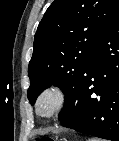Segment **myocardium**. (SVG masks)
<instances>
[{
    "instance_id": "obj_1",
    "label": "myocardium",
    "mask_w": 119,
    "mask_h": 141,
    "mask_svg": "<svg viewBox=\"0 0 119 141\" xmlns=\"http://www.w3.org/2000/svg\"><path fill=\"white\" fill-rule=\"evenodd\" d=\"M46 100L50 101L51 107L49 111L43 113L41 105ZM66 101L67 96L64 89L58 85H50L44 88L36 97L34 104L35 112L42 119H52L63 110Z\"/></svg>"
}]
</instances>
